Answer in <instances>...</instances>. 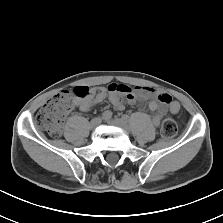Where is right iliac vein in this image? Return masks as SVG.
I'll list each match as a JSON object with an SVG mask.
<instances>
[{"label":"right iliac vein","mask_w":223,"mask_h":223,"mask_svg":"<svg viewBox=\"0 0 223 223\" xmlns=\"http://www.w3.org/2000/svg\"><path fill=\"white\" fill-rule=\"evenodd\" d=\"M100 124H101V118L96 117V118L91 120L90 127L95 128V127L99 126Z\"/></svg>","instance_id":"63e3f726"}]
</instances>
